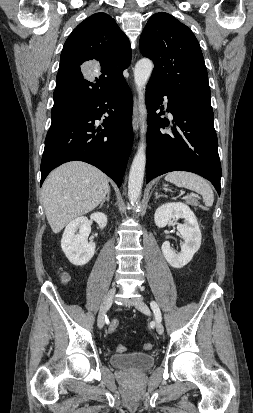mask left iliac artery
I'll list each match as a JSON object with an SVG mask.
<instances>
[{
  "mask_svg": "<svg viewBox=\"0 0 253 413\" xmlns=\"http://www.w3.org/2000/svg\"><path fill=\"white\" fill-rule=\"evenodd\" d=\"M150 306H151V309L153 310V312L156 316V319L161 320V318H162L161 317V312H160V309H159L157 303L155 301H151Z\"/></svg>",
  "mask_w": 253,
  "mask_h": 413,
  "instance_id": "1",
  "label": "left iliac artery"
}]
</instances>
